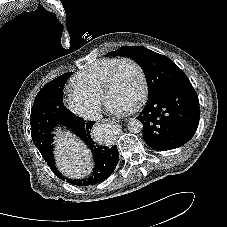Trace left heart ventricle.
Returning <instances> with one entry per match:
<instances>
[{
	"mask_svg": "<svg viewBox=\"0 0 227 227\" xmlns=\"http://www.w3.org/2000/svg\"><path fill=\"white\" fill-rule=\"evenodd\" d=\"M141 87V79L137 69L125 63L119 69L113 86L108 93V102L132 105Z\"/></svg>",
	"mask_w": 227,
	"mask_h": 227,
	"instance_id": "1",
	"label": "left heart ventricle"
}]
</instances>
